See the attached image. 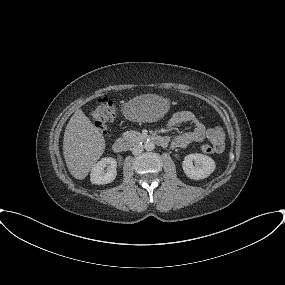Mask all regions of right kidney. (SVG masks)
I'll use <instances>...</instances> for the list:
<instances>
[{
	"instance_id": "1",
	"label": "right kidney",
	"mask_w": 285,
	"mask_h": 285,
	"mask_svg": "<svg viewBox=\"0 0 285 285\" xmlns=\"http://www.w3.org/2000/svg\"><path fill=\"white\" fill-rule=\"evenodd\" d=\"M105 167H108L107 172ZM117 161L112 157H105L98 161L92 168L90 181L92 184L104 185L111 183L117 175Z\"/></svg>"
}]
</instances>
